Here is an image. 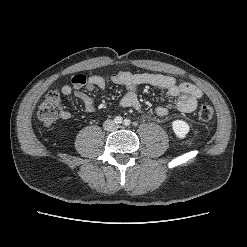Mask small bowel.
I'll use <instances>...</instances> for the list:
<instances>
[{"mask_svg": "<svg viewBox=\"0 0 247 247\" xmlns=\"http://www.w3.org/2000/svg\"><path fill=\"white\" fill-rule=\"evenodd\" d=\"M111 82L121 85L126 89L125 94L120 99V105L126 108L140 110L142 105L137 97V90L142 85H150L161 91H164L167 96L175 98L174 107L182 113H191L203 97L202 91L194 84L183 82L178 83L177 80L168 75L151 74V73H131L127 71H119L111 74ZM107 81L100 75L85 76L82 74L74 75L71 78V85H64L61 88V93L64 96L74 95L80 99L87 111L96 109L95 101L82 91L86 88L89 91L95 89L105 90ZM156 115L165 117L169 114L167 106H157L154 109ZM59 118L62 120H70L72 114L69 111L62 110Z\"/></svg>", "mask_w": 247, "mask_h": 247, "instance_id": "obj_1", "label": "small bowel"}]
</instances>
